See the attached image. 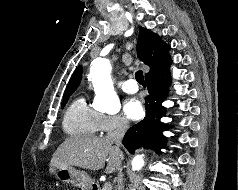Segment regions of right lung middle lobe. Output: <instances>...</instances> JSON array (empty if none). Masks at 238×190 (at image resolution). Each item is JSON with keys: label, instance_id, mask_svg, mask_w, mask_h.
Wrapping results in <instances>:
<instances>
[{"label": "right lung middle lobe", "instance_id": "1", "mask_svg": "<svg viewBox=\"0 0 238 190\" xmlns=\"http://www.w3.org/2000/svg\"><path fill=\"white\" fill-rule=\"evenodd\" d=\"M72 93H68V94H65L64 97H63V101H62V108L65 106V104L67 103L68 101V98L71 96Z\"/></svg>", "mask_w": 238, "mask_h": 190}]
</instances>
